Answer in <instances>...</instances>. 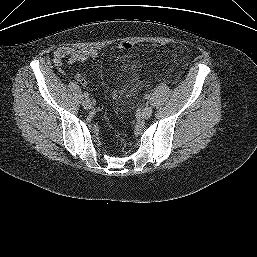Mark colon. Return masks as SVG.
Returning a JSON list of instances; mask_svg holds the SVG:
<instances>
[{"label": "colon", "mask_w": 257, "mask_h": 257, "mask_svg": "<svg viewBox=\"0 0 257 257\" xmlns=\"http://www.w3.org/2000/svg\"><path fill=\"white\" fill-rule=\"evenodd\" d=\"M132 47H133L132 43L127 40H121L117 43V48L119 50H130L132 49Z\"/></svg>", "instance_id": "1"}]
</instances>
